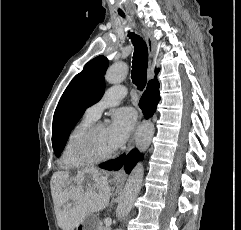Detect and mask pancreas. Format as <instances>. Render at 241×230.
<instances>
[{"mask_svg":"<svg viewBox=\"0 0 241 230\" xmlns=\"http://www.w3.org/2000/svg\"><path fill=\"white\" fill-rule=\"evenodd\" d=\"M97 230H109L107 227H105L104 225H103V223H98V227H97Z\"/></svg>","mask_w":241,"mask_h":230,"instance_id":"1","label":"pancreas"}]
</instances>
